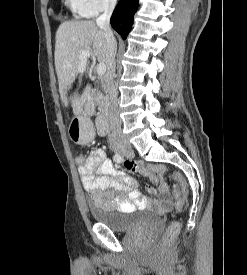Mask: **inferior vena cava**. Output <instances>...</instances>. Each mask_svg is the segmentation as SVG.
<instances>
[{
	"instance_id": "obj_1",
	"label": "inferior vena cava",
	"mask_w": 247,
	"mask_h": 275,
	"mask_svg": "<svg viewBox=\"0 0 247 275\" xmlns=\"http://www.w3.org/2000/svg\"><path fill=\"white\" fill-rule=\"evenodd\" d=\"M116 2L117 0H106L103 14L96 19L97 26L103 29L105 33L107 45L106 59L108 71L105 75L104 83L108 94V140L111 146H117L126 142V138L121 130L118 112V89L114 80L117 43L110 28V17L116 6Z\"/></svg>"
}]
</instances>
